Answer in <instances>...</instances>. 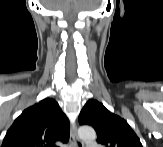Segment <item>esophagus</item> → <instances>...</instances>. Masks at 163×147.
I'll return each mask as SVG.
<instances>
[{"label": "esophagus", "instance_id": "1", "mask_svg": "<svg viewBox=\"0 0 163 147\" xmlns=\"http://www.w3.org/2000/svg\"><path fill=\"white\" fill-rule=\"evenodd\" d=\"M70 143L73 147H84V143L77 136V129L75 125H73L70 129Z\"/></svg>", "mask_w": 163, "mask_h": 147}]
</instances>
